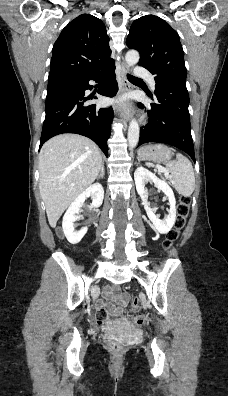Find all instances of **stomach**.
I'll return each mask as SVG.
<instances>
[{
  "label": "stomach",
  "mask_w": 228,
  "mask_h": 396,
  "mask_svg": "<svg viewBox=\"0 0 228 396\" xmlns=\"http://www.w3.org/2000/svg\"><path fill=\"white\" fill-rule=\"evenodd\" d=\"M138 155L143 160L165 164L171 160L173 153L169 147L155 144L140 148Z\"/></svg>",
  "instance_id": "obj_1"
}]
</instances>
